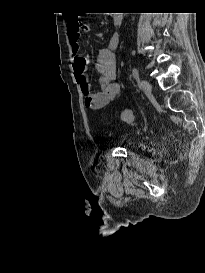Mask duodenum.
<instances>
[{"label":"duodenum","mask_w":205,"mask_h":273,"mask_svg":"<svg viewBox=\"0 0 205 273\" xmlns=\"http://www.w3.org/2000/svg\"><path fill=\"white\" fill-rule=\"evenodd\" d=\"M121 21V18H120V15L119 14H115L114 17H113V23L115 25H118Z\"/></svg>","instance_id":"1"}]
</instances>
